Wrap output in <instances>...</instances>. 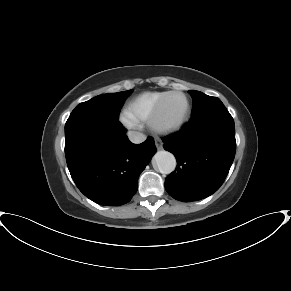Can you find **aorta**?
Instances as JSON below:
<instances>
[{"label":"aorta","mask_w":291,"mask_h":291,"mask_svg":"<svg viewBox=\"0 0 291 291\" xmlns=\"http://www.w3.org/2000/svg\"><path fill=\"white\" fill-rule=\"evenodd\" d=\"M154 161L160 173L170 174L176 168V159L174 155L168 151H158L154 155Z\"/></svg>","instance_id":"1"}]
</instances>
